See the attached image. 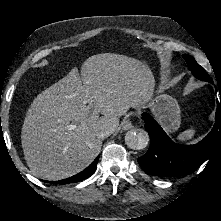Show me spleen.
I'll return each mask as SVG.
<instances>
[{"label": "spleen", "mask_w": 221, "mask_h": 221, "mask_svg": "<svg viewBox=\"0 0 221 221\" xmlns=\"http://www.w3.org/2000/svg\"><path fill=\"white\" fill-rule=\"evenodd\" d=\"M195 134V130L194 129H188L185 130L184 132H182L181 134H179V136L177 137L178 141H187L193 138Z\"/></svg>", "instance_id": "obj_1"}]
</instances>
